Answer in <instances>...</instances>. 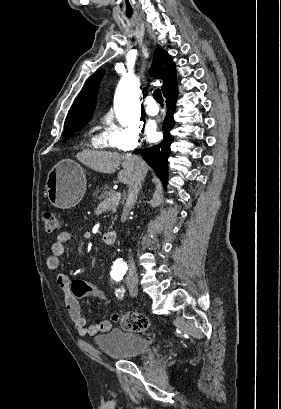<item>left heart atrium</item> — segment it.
<instances>
[{
  "instance_id": "left-heart-atrium-1",
  "label": "left heart atrium",
  "mask_w": 281,
  "mask_h": 409,
  "mask_svg": "<svg viewBox=\"0 0 281 409\" xmlns=\"http://www.w3.org/2000/svg\"><path fill=\"white\" fill-rule=\"evenodd\" d=\"M149 136L151 138H154L156 136V132H155V127L151 126L150 130H149Z\"/></svg>"
}]
</instances>
